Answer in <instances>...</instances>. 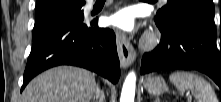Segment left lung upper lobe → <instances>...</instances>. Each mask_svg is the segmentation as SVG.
<instances>
[{
	"label": "left lung upper lobe",
	"mask_w": 221,
	"mask_h": 102,
	"mask_svg": "<svg viewBox=\"0 0 221 102\" xmlns=\"http://www.w3.org/2000/svg\"><path fill=\"white\" fill-rule=\"evenodd\" d=\"M212 0H168L157 12L156 24L165 26L178 18H189L216 31Z\"/></svg>",
	"instance_id": "obj_1"
}]
</instances>
